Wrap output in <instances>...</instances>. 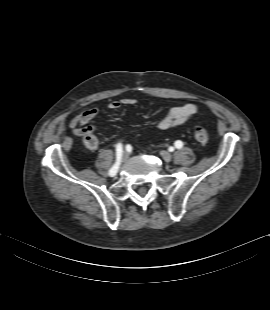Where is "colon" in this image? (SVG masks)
I'll return each instance as SVG.
<instances>
[{
  "label": "colon",
  "instance_id": "1",
  "mask_svg": "<svg viewBox=\"0 0 270 310\" xmlns=\"http://www.w3.org/2000/svg\"><path fill=\"white\" fill-rule=\"evenodd\" d=\"M194 137L195 140L202 145L207 144L209 141V133L207 129L202 126H198L195 129Z\"/></svg>",
  "mask_w": 270,
  "mask_h": 310
}]
</instances>
